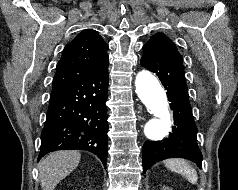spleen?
I'll use <instances>...</instances> for the list:
<instances>
[{"mask_svg":"<svg viewBox=\"0 0 238 190\" xmlns=\"http://www.w3.org/2000/svg\"><path fill=\"white\" fill-rule=\"evenodd\" d=\"M167 169L183 175L190 183L196 184L198 175L196 170L184 159H169L164 162Z\"/></svg>","mask_w":238,"mask_h":190,"instance_id":"3e777b00","label":"spleen"}]
</instances>
